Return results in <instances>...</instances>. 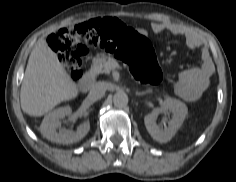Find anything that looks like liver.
Instances as JSON below:
<instances>
[{
	"instance_id": "obj_1",
	"label": "liver",
	"mask_w": 236,
	"mask_h": 182,
	"mask_svg": "<svg viewBox=\"0 0 236 182\" xmlns=\"http://www.w3.org/2000/svg\"><path fill=\"white\" fill-rule=\"evenodd\" d=\"M78 93L57 54L40 38L25 70L20 91L22 110L30 116H43L61 102L76 98Z\"/></svg>"
}]
</instances>
